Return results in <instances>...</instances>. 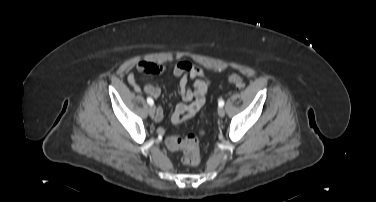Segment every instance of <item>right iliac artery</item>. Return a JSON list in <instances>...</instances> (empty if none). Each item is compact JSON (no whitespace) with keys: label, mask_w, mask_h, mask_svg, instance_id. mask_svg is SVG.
Here are the masks:
<instances>
[{"label":"right iliac artery","mask_w":376,"mask_h":202,"mask_svg":"<svg viewBox=\"0 0 376 202\" xmlns=\"http://www.w3.org/2000/svg\"><path fill=\"white\" fill-rule=\"evenodd\" d=\"M147 103H148L149 105H153V104H154V101H153V99H152L151 97H148V98H147Z\"/></svg>","instance_id":"obj_1"}]
</instances>
